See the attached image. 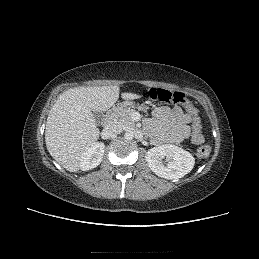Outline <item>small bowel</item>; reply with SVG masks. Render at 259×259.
<instances>
[{
    "mask_svg": "<svg viewBox=\"0 0 259 259\" xmlns=\"http://www.w3.org/2000/svg\"><path fill=\"white\" fill-rule=\"evenodd\" d=\"M189 113L179 107L156 108L151 120L147 123L153 130L155 142L179 143L192 138V123L188 118Z\"/></svg>",
    "mask_w": 259,
    "mask_h": 259,
    "instance_id": "1",
    "label": "small bowel"
}]
</instances>
